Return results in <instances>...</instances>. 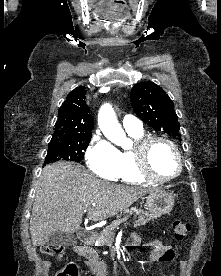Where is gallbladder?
Segmentation results:
<instances>
[{"mask_svg":"<svg viewBox=\"0 0 221 276\" xmlns=\"http://www.w3.org/2000/svg\"><path fill=\"white\" fill-rule=\"evenodd\" d=\"M76 240L77 238L74 234L56 230L49 236L47 245L51 247H67L75 245Z\"/></svg>","mask_w":221,"mask_h":276,"instance_id":"obj_1","label":"gallbladder"}]
</instances>
